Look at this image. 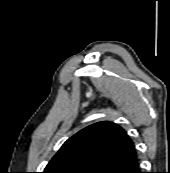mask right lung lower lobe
Segmentation results:
<instances>
[{"instance_id":"right-lung-lower-lobe-1","label":"right lung lower lobe","mask_w":170,"mask_h":173,"mask_svg":"<svg viewBox=\"0 0 170 173\" xmlns=\"http://www.w3.org/2000/svg\"><path fill=\"white\" fill-rule=\"evenodd\" d=\"M103 173H142L137 155L111 166Z\"/></svg>"}]
</instances>
